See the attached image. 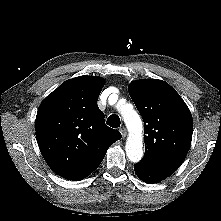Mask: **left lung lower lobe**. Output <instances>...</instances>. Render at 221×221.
Listing matches in <instances>:
<instances>
[{"instance_id": "0a47b994", "label": "left lung lower lobe", "mask_w": 221, "mask_h": 221, "mask_svg": "<svg viewBox=\"0 0 221 221\" xmlns=\"http://www.w3.org/2000/svg\"><path fill=\"white\" fill-rule=\"evenodd\" d=\"M134 170L142 181L149 184L160 182L172 174L167 171L156 169L142 162L135 164Z\"/></svg>"}]
</instances>
